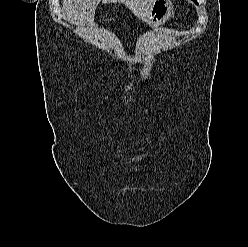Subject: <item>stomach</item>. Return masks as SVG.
Returning a JSON list of instances; mask_svg holds the SVG:
<instances>
[{"label": "stomach", "instance_id": "1", "mask_svg": "<svg viewBox=\"0 0 248 247\" xmlns=\"http://www.w3.org/2000/svg\"><path fill=\"white\" fill-rule=\"evenodd\" d=\"M172 10L173 5L170 0H155L144 21L156 28L169 18Z\"/></svg>", "mask_w": 248, "mask_h": 247}]
</instances>
